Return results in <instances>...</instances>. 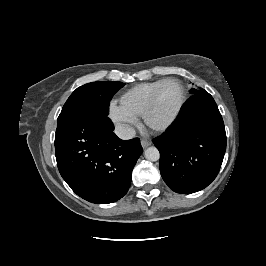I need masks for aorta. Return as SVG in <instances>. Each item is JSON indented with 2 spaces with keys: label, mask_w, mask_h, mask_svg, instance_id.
I'll list each match as a JSON object with an SVG mask.
<instances>
[{
  "label": "aorta",
  "mask_w": 266,
  "mask_h": 266,
  "mask_svg": "<svg viewBox=\"0 0 266 266\" xmlns=\"http://www.w3.org/2000/svg\"><path fill=\"white\" fill-rule=\"evenodd\" d=\"M144 156L147 160L154 162L159 160L160 153L156 147L151 146L144 151Z\"/></svg>",
  "instance_id": "obj_1"
}]
</instances>
